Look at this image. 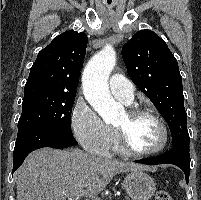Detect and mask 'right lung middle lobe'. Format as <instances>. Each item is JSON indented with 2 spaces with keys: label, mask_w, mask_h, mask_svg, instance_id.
Returning a JSON list of instances; mask_svg holds the SVG:
<instances>
[{
  "label": "right lung middle lobe",
  "mask_w": 201,
  "mask_h": 200,
  "mask_svg": "<svg viewBox=\"0 0 201 200\" xmlns=\"http://www.w3.org/2000/svg\"><path fill=\"white\" fill-rule=\"evenodd\" d=\"M75 95L32 91L24 94L18 128L32 124L53 126L72 134L70 119Z\"/></svg>",
  "instance_id": "obj_1"
}]
</instances>
